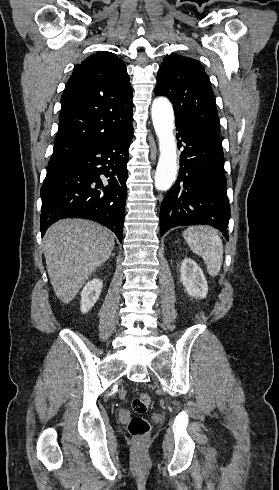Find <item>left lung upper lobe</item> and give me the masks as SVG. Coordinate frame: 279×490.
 Here are the masks:
<instances>
[{
	"label": "left lung upper lobe",
	"mask_w": 279,
	"mask_h": 490,
	"mask_svg": "<svg viewBox=\"0 0 279 490\" xmlns=\"http://www.w3.org/2000/svg\"><path fill=\"white\" fill-rule=\"evenodd\" d=\"M174 104L175 118L219 133L215 96L204 67L197 60L171 54L164 58L154 90Z\"/></svg>",
	"instance_id": "5c2ea615"
}]
</instances>
